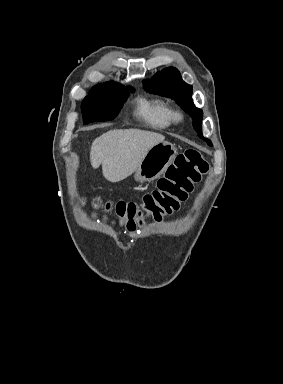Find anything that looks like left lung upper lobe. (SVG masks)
<instances>
[{
	"instance_id": "obj_1",
	"label": "left lung upper lobe",
	"mask_w": 283,
	"mask_h": 384,
	"mask_svg": "<svg viewBox=\"0 0 283 384\" xmlns=\"http://www.w3.org/2000/svg\"><path fill=\"white\" fill-rule=\"evenodd\" d=\"M144 88L149 93L159 94L174 99L181 108L193 119V127L199 137L212 146L210 140L202 136L201 121L203 112L196 108L192 100V86L186 84L176 68L169 67L157 73L149 81L143 82Z\"/></svg>"
}]
</instances>
